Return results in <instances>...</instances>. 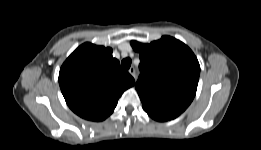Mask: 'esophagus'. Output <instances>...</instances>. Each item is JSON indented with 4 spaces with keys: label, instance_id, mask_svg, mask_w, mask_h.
Listing matches in <instances>:
<instances>
[{
    "label": "esophagus",
    "instance_id": "34e87169",
    "mask_svg": "<svg viewBox=\"0 0 261 150\" xmlns=\"http://www.w3.org/2000/svg\"><path fill=\"white\" fill-rule=\"evenodd\" d=\"M128 72L130 73V75H131L132 77H135V68H134V67H131V68L128 70Z\"/></svg>",
    "mask_w": 261,
    "mask_h": 150
}]
</instances>
